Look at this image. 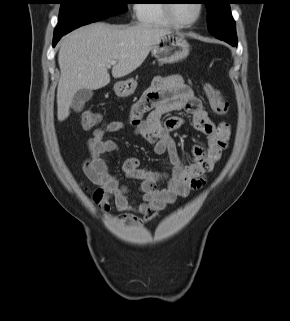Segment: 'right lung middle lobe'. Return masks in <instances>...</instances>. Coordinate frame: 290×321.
<instances>
[{
    "mask_svg": "<svg viewBox=\"0 0 290 321\" xmlns=\"http://www.w3.org/2000/svg\"><path fill=\"white\" fill-rule=\"evenodd\" d=\"M60 13L54 34L71 30L127 11L126 0H60Z\"/></svg>",
    "mask_w": 290,
    "mask_h": 321,
    "instance_id": "1",
    "label": "right lung middle lobe"
}]
</instances>
